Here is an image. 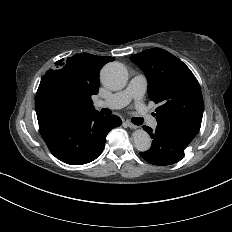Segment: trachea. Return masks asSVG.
Listing matches in <instances>:
<instances>
[{"label": "trachea", "mask_w": 232, "mask_h": 232, "mask_svg": "<svg viewBox=\"0 0 232 232\" xmlns=\"http://www.w3.org/2000/svg\"><path fill=\"white\" fill-rule=\"evenodd\" d=\"M143 122H144V119L141 117H133L132 118V123L134 125H141V124H143Z\"/></svg>", "instance_id": "3493384b"}]
</instances>
